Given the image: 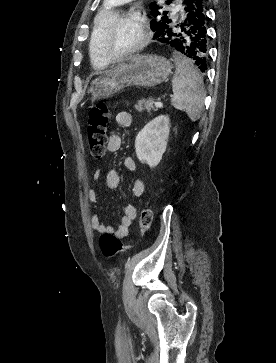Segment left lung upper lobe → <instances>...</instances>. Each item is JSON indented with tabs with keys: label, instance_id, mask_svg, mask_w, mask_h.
Wrapping results in <instances>:
<instances>
[{
	"label": "left lung upper lobe",
	"instance_id": "1",
	"mask_svg": "<svg viewBox=\"0 0 276 363\" xmlns=\"http://www.w3.org/2000/svg\"><path fill=\"white\" fill-rule=\"evenodd\" d=\"M173 0H167L166 4H171ZM188 0H183V3L185 4ZM152 11L151 14L153 15V17H157L158 18L156 20H152L151 21V27L152 30L156 33L159 29L163 28L164 26H170L173 22L172 19H169V17L167 16V12L164 11L162 14L164 16H161V12L159 11L161 9V7H159L158 5L155 4V2L151 3L150 5Z\"/></svg>",
	"mask_w": 276,
	"mask_h": 363
}]
</instances>
